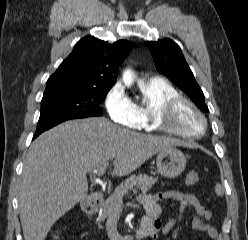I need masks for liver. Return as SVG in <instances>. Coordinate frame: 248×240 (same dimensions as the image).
<instances>
[{"label": "liver", "mask_w": 248, "mask_h": 240, "mask_svg": "<svg viewBox=\"0 0 248 240\" xmlns=\"http://www.w3.org/2000/svg\"><path fill=\"white\" fill-rule=\"evenodd\" d=\"M183 142L120 128L104 118L66 121L40 135L27 153L19 187L25 240H45L54 223L88 192L87 171L115 159L125 176L158 152Z\"/></svg>", "instance_id": "liver-1"}]
</instances>
